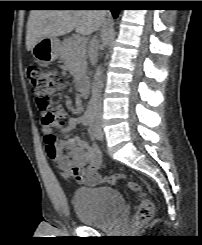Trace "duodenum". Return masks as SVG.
<instances>
[{"mask_svg": "<svg viewBox=\"0 0 202 245\" xmlns=\"http://www.w3.org/2000/svg\"><path fill=\"white\" fill-rule=\"evenodd\" d=\"M77 88L81 96L86 97L89 92V81L86 78H81L77 81Z\"/></svg>", "mask_w": 202, "mask_h": 245, "instance_id": "1", "label": "duodenum"}]
</instances>
